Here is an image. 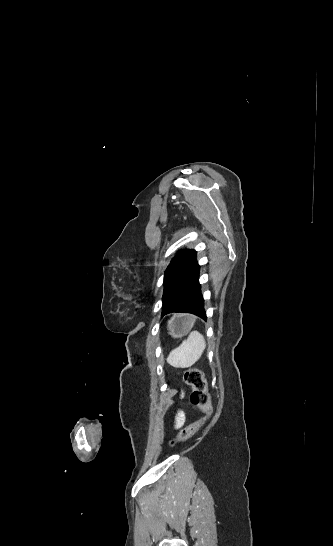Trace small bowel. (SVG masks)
<instances>
[{"mask_svg": "<svg viewBox=\"0 0 333 546\" xmlns=\"http://www.w3.org/2000/svg\"><path fill=\"white\" fill-rule=\"evenodd\" d=\"M185 422V414L183 411L179 410L174 418V427L179 428L181 427Z\"/></svg>", "mask_w": 333, "mask_h": 546, "instance_id": "1", "label": "small bowel"}]
</instances>
